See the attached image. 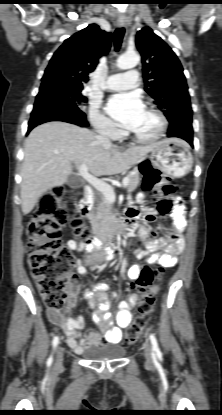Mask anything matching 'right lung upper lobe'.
I'll use <instances>...</instances> for the list:
<instances>
[{"instance_id": "1", "label": "right lung upper lobe", "mask_w": 222, "mask_h": 415, "mask_svg": "<svg viewBox=\"0 0 222 415\" xmlns=\"http://www.w3.org/2000/svg\"><path fill=\"white\" fill-rule=\"evenodd\" d=\"M111 41V33L101 30L96 24L75 33L54 53L41 85L56 83L83 89L99 58L109 52Z\"/></svg>"}]
</instances>
